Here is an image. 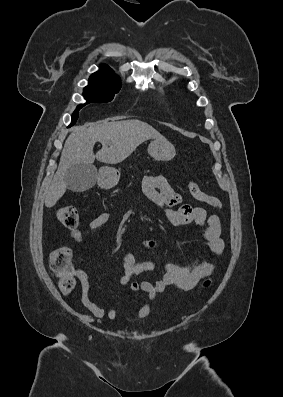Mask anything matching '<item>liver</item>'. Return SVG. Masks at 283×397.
Masks as SVG:
<instances>
[{"mask_svg":"<svg viewBox=\"0 0 283 397\" xmlns=\"http://www.w3.org/2000/svg\"><path fill=\"white\" fill-rule=\"evenodd\" d=\"M165 139L156 129L140 120H121L76 127L68 136L62 150L59 166L45 196V206L53 207L66 192L64 175L76 164L94 163L95 159L106 164L124 161L144 141ZM99 141L102 148L94 154L93 147Z\"/></svg>","mask_w":283,"mask_h":397,"instance_id":"liver-1","label":"liver"}]
</instances>
